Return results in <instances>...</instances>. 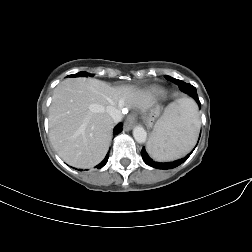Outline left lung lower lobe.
I'll return each mask as SVG.
<instances>
[{"label":"left lung lower lobe","mask_w":252,"mask_h":252,"mask_svg":"<svg viewBox=\"0 0 252 252\" xmlns=\"http://www.w3.org/2000/svg\"><path fill=\"white\" fill-rule=\"evenodd\" d=\"M175 83L178 84L179 88L181 91L188 93L190 96H192L196 102L198 103V105L200 106V101L198 99V95H197V91L196 88L194 86H192L191 84H187L181 80H177ZM192 153V152H191ZM191 153L189 155H187L186 157L180 159V160H176L173 162H168V163H159V162H155L154 160H152L150 158V156L147 154L145 147L142 148L141 150V155L142 158L144 160V162L154 168L157 169H172L175 168L177 166H179L180 164H182L184 161L187 160V158L191 155Z\"/></svg>","instance_id":"obj_1"}]
</instances>
